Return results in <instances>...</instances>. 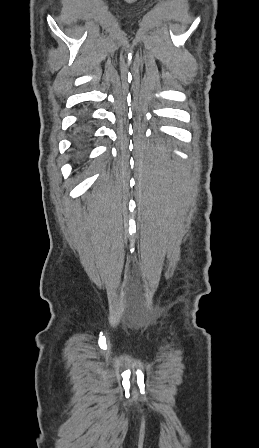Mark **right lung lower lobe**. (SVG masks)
I'll return each instance as SVG.
<instances>
[{
	"mask_svg": "<svg viewBox=\"0 0 259 448\" xmlns=\"http://www.w3.org/2000/svg\"><path fill=\"white\" fill-rule=\"evenodd\" d=\"M89 125V119L86 115H83L74 128V144L72 147L74 149L73 152L79 157L84 153L89 144Z\"/></svg>",
	"mask_w": 259,
	"mask_h": 448,
	"instance_id": "right-lung-lower-lobe-1",
	"label": "right lung lower lobe"
}]
</instances>
